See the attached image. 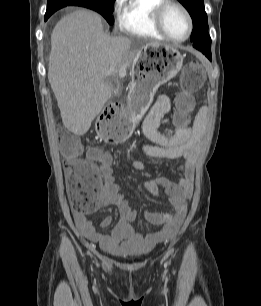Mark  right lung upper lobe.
<instances>
[{
	"label": "right lung upper lobe",
	"mask_w": 261,
	"mask_h": 306,
	"mask_svg": "<svg viewBox=\"0 0 261 306\" xmlns=\"http://www.w3.org/2000/svg\"><path fill=\"white\" fill-rule=\"evenodd\" d=\"M48 1H53V0H48ZM66 1H75V0H66Z\"/></svg>",
	"instance_id": "obj_1"
}]
</instances>
